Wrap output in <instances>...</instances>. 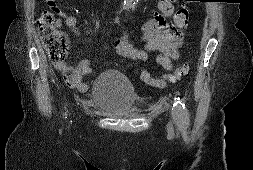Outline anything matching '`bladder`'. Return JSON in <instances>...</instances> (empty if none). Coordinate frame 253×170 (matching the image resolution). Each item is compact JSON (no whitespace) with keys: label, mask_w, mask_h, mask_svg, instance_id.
<instances>
[{"label":"bladder","mask_w":253,"mask_h":170,"mask_svg":"<svg viewBox=\"0 0 253 170\" xmlns=\"http://www.w3.org/2000/svg\"><path fill=\"white\" fill-rule=\"evenodd\" d=\"M92 106L111 116L128 115L137 102V94L128 77L118 70H105L94 81Z\"/></svg>","instance_id":"bladder-1"}]
</instances>
